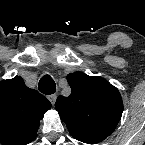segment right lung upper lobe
Segmentation results:
<instances>
[{
    "mask_svg": "<svg viewBox=\"0 0 145 145\" xmlns=\"http://www.w3.org/2000/svg\"><path fill=\"white\" fill-rule=\"evenodd\" d=\"M50 101L28 88L18 76L0 82V143L26 145L32 142Z\"/></svg>",
    "mask_w": 145,
    "mask_h": 145,
    "instance_id": "cb5924a9",
    "label": "right lung upper lobe"
}]
</instances>
